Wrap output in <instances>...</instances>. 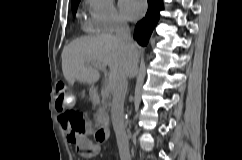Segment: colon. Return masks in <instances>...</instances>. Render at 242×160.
<instances>
[{
    "label": "colon",
    "instance_id": "colon-1",
    "mask_svg": "<svg viewBox=\"0 0 242 160\" xmlns=\"http://www.w3.org/2000/svg\"><path fill=\"white\" fill-rule=\"evenodd\" d=\"M73 98L65 83L59 82L56 86L55 106L61 113V118L69 125L73 133L81 134L86 127L84 115L76 109L71 108ZM95 145V144H94ZM98 153V147H95L88 153L94 156Z\"/></svg>",
    "mask_w": 242,
    "mask_h": 160
}]
</instances>
